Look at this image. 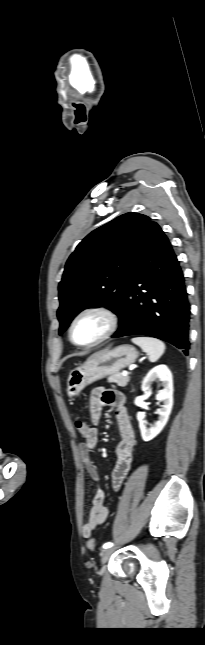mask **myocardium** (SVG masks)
I'll return each instance as SVG.
<instances>
[{
	"label": "myocardium",
	"mask_w": 205,
	"mask_h": 645,
	"mask_svg": "<svg viewBox=\"0 0 205 645\" xmlns=\"http://www.w3.org/2000/svg\"><path fill=\"white\" fill-rule=\"evenodd\" d=\"M90 314L99 315L100 317H102L104 319L105 324H106L105 330L94 341L89 342V343H79L74 339V336H73L74 327H75L76 323L82 317H84L86 315H90ZM118 325H119L118 315L113 310H111L110 308L105 307V306H88V307H85L84 309H82L81 311H79L75 315V317L72 319V321L70 323V326H69L68 335H69L70 341L73 344H75L76 346L84 347V348H90V347H94V346L104 342L108 338H110L115 333V331L117 330Z\"/></svg>",
	"instance_id": "obj_1"
}]
</instances>
